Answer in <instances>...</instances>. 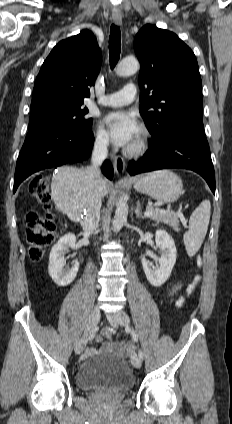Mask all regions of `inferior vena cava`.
Listing matches in <instances>:
<instances>
[{
    "label": "inferior vena cava",
    "instance_id": "obj_1",
    "mask_svg": "<svg viewBox=\"0 0 232 424\" xmlns=\"http://www.w3.org/2000/svg\"><path fill=\"white\" fill-rule=\"evenodd\" d=\"M107 147L108 141L106 139H97L92 152L91 165L85 169V173L91 181V188L88 195V207L84 210L80 220L85 234L94 232L99 225L103 185L99 166L107 157Z\"/></svg>",
    "mask_w": 232,
    "mask_h": 424
}]
</instances>
